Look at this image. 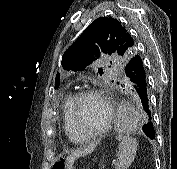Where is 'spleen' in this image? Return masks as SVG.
Instances as JSON below:
<instances>
[{"instance_id": "obj_1", "label": "spleen", "mask_w": 177, "mask_h": 169, "mask_svg": "<svg viewBox=\"0 0 177 169\" xmlns=\"http://www.w3.org/2000/svg\"><path fill=\"white\" fill-rule=\"evenodd\" d=\"M117 140L119 141V153L115 169H128L134 161L138 142L135 138L123 135H118Z\"/></svg>"}]
</instances>
